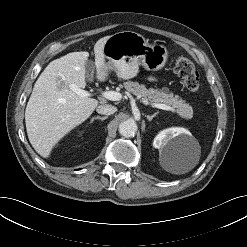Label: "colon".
Wrapping results in <instances>:
<instances>
[{
    "label": "colon",
    "mask_w": 247,
    "mask_h": 247,
    "mask_svg": "<svg viewBox=\"0 0 247 247\" xmlns=\"http://www.w3.org/2000/svg\"><path fill=\"white\" fill-rule=\"evenodd\" d=\"M174 70L188 90L197 91L199 89V73L188 58L177 57L174 62Z\"/></svg>",
    "instance_id": "obj_1"
}]
</instances>
